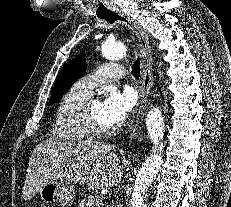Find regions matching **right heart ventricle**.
<instances>
[{
	"label": "right heart ventricle",
	"instance_id": "e07e8e85",
	"mask_svg": "<svg viewBox=\"0 0 231 207\" xmlns=\"http://www.w3.org/2000/svg\"><path fill=\"white\" fill-rule=\"evenodd\" d=\"M89 93L80 90L77 85L62 97L54 117L53 135L66 142H81L90 138V134L81 123V110L88 100Z\"/></svg>",
	"mask_w": 231,
	"mask_h": 207
}]
</instances>
